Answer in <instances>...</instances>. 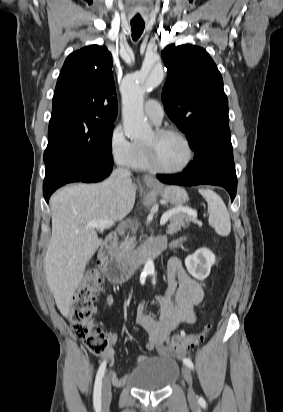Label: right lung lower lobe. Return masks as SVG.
Listing matches in <instances>:
<instances>
[{"label":"right lung lower lobe","instance_id":"right-lung-lower-lobe-1","mask_svg":"<svg viewBox=\"0 0 283 412\" xmlns=\"http://www.w3.org/2000/svg\"><path fill=\"white\" fill-rule=\"evenodd\" d=\"M113 161L93 159L87 161L61 160L46 166L43 195L49 202L51 194L71 182H98L112 171Z\"/></svg>","mask_w":283,"mask_h":412}]
</instances>
